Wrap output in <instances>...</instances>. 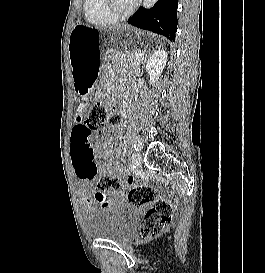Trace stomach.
<instances>
[{
  "mask_svg": "<svg viewBox=\"0 0 265 273\" xmlns=\"http://www.w3.org/2000/svg\"><path fill=\"white\" fill-rule=\"evenodd\" d=\"M155 35H145V30L120 26L103 29L76 24L69 36L68 53L73 80L80 95H87L97 78H108L118 64H135L139 56H149V51L163 45Z\"/></svg>",
  "mask_w": 265,
  "mask_h": 273,
  "instance_id": "0dacf381",
  "label": "stomach"
}]
</instances>
